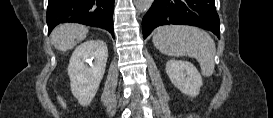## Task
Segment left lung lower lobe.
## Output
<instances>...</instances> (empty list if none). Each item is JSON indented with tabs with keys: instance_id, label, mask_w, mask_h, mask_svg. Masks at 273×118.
<instances>
[{
	"instance_id": "left-lung-lower-lobe-1",
	"label": "left lung lower lobe",
	"mask_w": 273,
	"mask_h": 118,
	"mask_svg": "<svg viewBox=\"0 0 273 118\" xmlns=\"http://www.w3.org/2000/svg\"><path fill=\"white\" fill-rule=\"evenodd\" d=\"M170 24L201 27L220 38L214 0H154L142 20L144 39L156 27Z\"/></svg>"
}]
</instances>
